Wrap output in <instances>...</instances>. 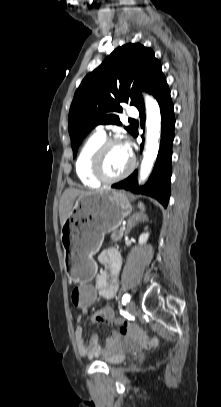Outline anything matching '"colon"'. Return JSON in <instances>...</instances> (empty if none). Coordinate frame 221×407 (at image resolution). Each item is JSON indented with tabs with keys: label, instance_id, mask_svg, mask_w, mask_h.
Listing matches in <instances>:
<instances>
[{
	"label": "colon",
	"instance_id": "5ec220e1",
	"mask_svg": "<svg viewBox=\"0 0 221 407\" xmlns=\"http://www.w3.org/2000/svg\"><path fill=\"white\" fill-rule=\"evenodd\" d=\"M72 290L71 306H76L77 311H90L91 306H94L95 300L97 299L95 283H73ZM102 310L103 316L101 318L104 322H112L115 319V309L113 305H104ZM112 323H115V321ZM126 332L127 328L124 327L121 333ZM130 333L144 349H154L158 345L156 338H150L146 333L138 329H131Z\"/></svg>",
	"mask_w": 221,
	"mask_h": 407
}]
</instances>
